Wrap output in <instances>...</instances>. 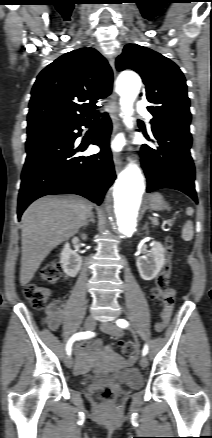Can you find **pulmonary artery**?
I'll use <instances>...</instances> for the list:
<instances>
[{"label": "pulmonary artery", "mask_w": 212, "mask_h": 438, "mask_svg": "<svg viewBox=\"0 0 212 438\" xmlns=\"http://www.w3.org/2000/svg\"><path fill=\"white\" fill-rule=\"evenodd\" d=\"M146 105L147 104L144 101L137 103V105L135 107V111L141 115H145L147 117V119H150L151 114L148 112Z\"/></svg>", "instance_id": "pulmonary-artery-1"}]
</instances>
